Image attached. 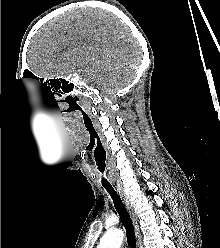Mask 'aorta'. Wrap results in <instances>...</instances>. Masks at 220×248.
<instances>
[{"mask_svg": "<svg viewBox=\"0 0 220 248\" xmlns=\"http://www.w3.org/2000/svg\"><path fill=\"white\" fill-rule=\"evenodd\" d=\"M123 238L124 233L121 229L109 230L101 239L98 248H120Z\"/></svg>", "mask_w": 220, "mask_h": 248, "instance_id": "1", "label": "aorta"}]
</instances>
